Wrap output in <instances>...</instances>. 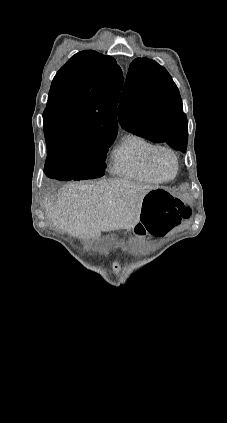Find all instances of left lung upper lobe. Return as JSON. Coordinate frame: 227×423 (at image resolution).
I'll return each instance as SVG.
<instances>
[{"label": "left lung upper lobe", "mask_w": 227, "mask_h": 423, "mask_svg": "<svg viewBox=\"0 0 227 423\" xmlns=\"http://www.w3.org/2000/svg\"><path fill=\"white\" fill-rule=\"evenodd\" d=\"M177 86L166 69L147 58L135 59L118 108L120 125L172 148L187 146L188 123Z\"/></svg>", "instance_id": "obj_1"}]
</instances>
